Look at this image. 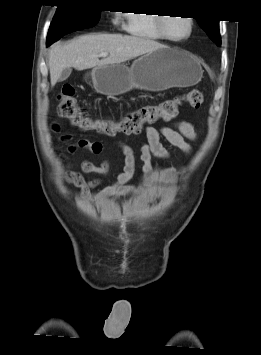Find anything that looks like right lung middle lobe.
<instances>
[{"label": "right lung middle lobe", "instance_id": "obj_1", "mask_svg": "<svg viewBox=\"0 0 261 355\" xmlns=\"http://www.w3.org/2000/svg\"><path fill=\"white\" fill-rule=\"evenodd\" d=\"M90 6L91 3L86 0L64 2L61 6H57L56 14L47 34V40L95 26L99 21L102 10Z\"/></svg>", "mask_w": 261, "mask_h": 355}]
</instances>
